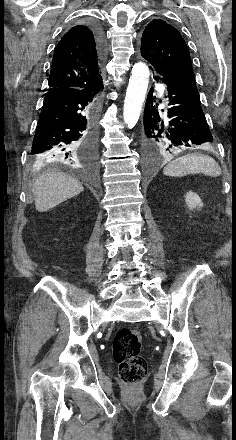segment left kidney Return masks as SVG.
Wrapping results in <instances>:
<instances>
[{
	"mask_svg": "<svg viewBox=\"0 0 236 440\" xmlns=\"http://www.w3.org/2000/svg\"><path fill=\"white\" fill-rule=\"evenodd\" d=\"M185 202L187 204V206L189 207V209H196L198 207V209L203 207V203L202 200L200 199V197L192 192L189 191L186 195H185Z\"/></svg>",
	"mask_w": 236,
	"mask_h": 440,
	"instance_id": "5707ae66",
	"label": "left kidney"
}]
</instances>
